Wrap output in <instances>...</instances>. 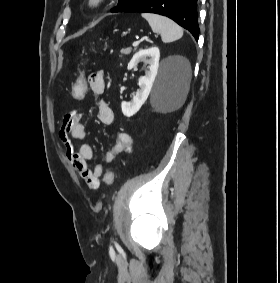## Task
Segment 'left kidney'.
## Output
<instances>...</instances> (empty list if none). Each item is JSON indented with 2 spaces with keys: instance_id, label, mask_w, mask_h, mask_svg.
Listing matches in <instances>:
<instances>
[{
  "instance_id": "left-kidney-1",
  "label": "left kidney",
  "mask_w": 280,
  "mask_h": 283,
  "mask_svg": "<svg viewBox=\"0 0 280 283\" xmlns=\"http://www.w3.org/2000/svg\"><path fill=\"white\" fill-rule=\"evenodd\" d=\"M160 52L158 47H151L148 49L140 50L137 52L131 61L128 63L127 69L131 70L139 62L144 61L149 64V69L146 71L145 76L139 78V90L136 92L131 102H122L121 110L126 117H131L136 114L141 106L147 100L152 89L154 80L157 75L159 67ZM171 59H179L183 62L182 67L186 60L181 57H171Z\"/></svg>"
}]
</instances>
